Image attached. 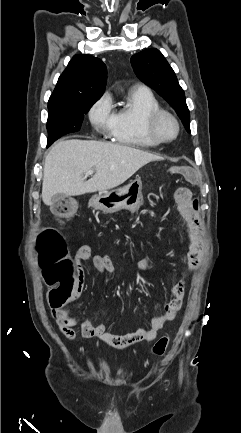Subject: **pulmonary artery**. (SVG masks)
<instances>
[{"mask_svg":"<svg viewBox=\"0 0 241 433\" xmlns=\"http://www.w3.org/2000/svg\"><path fill=\"white\" fill-rule=\"evenodd\" d=\"M135 88H146V86L143 84H137L135 85Z\"/></svg>","mask_w":241,"mask_h":433,"instance_id":"1","label":"pulmonary artery"}]
</instances>
